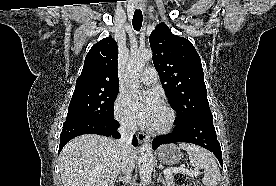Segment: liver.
Returning a JSON list of instances; mask_svg holds the SVG:
<instances>
[{"label":"liver","mask_w":276,"mask_h":186,"mask_svg":"<svg viewBox=\"0 0 276 186\" xmlns=\"http://www.w3.org/2000/svg\"><path fill=\"white\" fill-rule=\"evenodd\" d=\"M131 156H136L134 149ZM121 165L118 143L96 134L72 139L59 156L63 186H114Z\"/></svg>","instance_id":"6515ba94"}]
</instances>
